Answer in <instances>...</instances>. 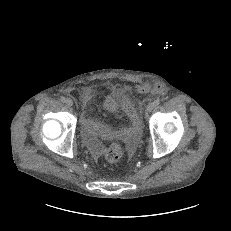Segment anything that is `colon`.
<instances>
[{
    "label": "colon",
    "mask_w": 231,
    "mask_h": 231,
    "mask_svg": "<svg viewBox=\"0 0 231 231\" xmlns=\"http://www.w3.org/2000/svg\"><path fill=\"white\" fill-rule=\"evenodd\" d=\"M150 89L151 87L148 84H143L139 87V90L141 92H147ZM154 90L156 93H160L161 87L156 85L154 87ZM123 107L127 115L130 117L131 121L133 122V124L137 125L139 123V117L134 107L129 102H126L123 105ZM122 155H123L122 145L118 142H114L107 148L105 153V159L110 163H116L121 159Z\"/></svg>",
    "instance_id": "obj_1"
}]
</instances>
